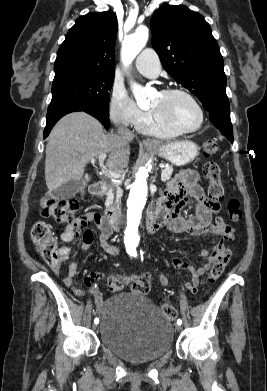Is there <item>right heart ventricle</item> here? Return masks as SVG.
Masks as SVG:
<instances>
[{"label":"right heart ventricle","instance_id":"right-heart-ventricle-1","mask_svg":"<svg viewBox=\"0 0 267 391\" xmlns=\"http://www.w3.org/2000/svg\"><path fill=\"white\" fill-rule=\"evenodd\" d=\"M138 130L144 134L155 136L158 138H172L179 133L168 129L156 122L152 113H149L146 121L138 128Z\"/></svg>","mask_w":267,"mask_h":391}]
</instances>
